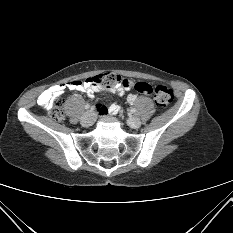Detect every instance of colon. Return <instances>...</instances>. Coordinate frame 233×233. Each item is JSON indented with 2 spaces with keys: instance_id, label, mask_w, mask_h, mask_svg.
Segmentation results:
<instances>
[{
  "instance_id": "5ec220e1",
  "label": "colon",
  "mask_w": 233,
  "mask_h": 233,
  "mask_svg": "<svg viewBox=\"0 0 233 233\" xmlns=\"http://www.w3.org/2000/svg\"><path fill=\"white\" fill-rule=\"evenodd\" d=\"M90 81L91 85L100 86L103 88H110L116 85H122L129 87L131 82L123 80L118 74L113 72H107L92 76L86 80ZM142 94L151 95L154 98L156 105L160 108H165L173 101V91L166 86L157 85L153 86L146 82H137L132 84L131 87ZM48 115L55 121H61L63 119V112L59 107V102L54 101L52 107L48 111Z\"/></svg>"
}]
</instances>
